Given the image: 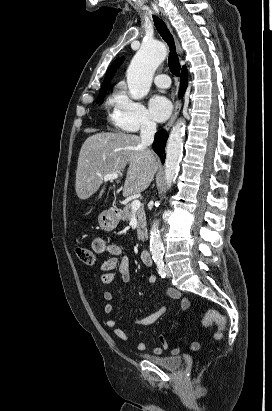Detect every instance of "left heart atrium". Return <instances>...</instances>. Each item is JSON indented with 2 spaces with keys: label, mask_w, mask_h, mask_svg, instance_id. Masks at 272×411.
Listing matches in <instances>:
<instances>
[{
  "label": "left heart atrium",
  "mask_w": 272,
  "mask_h": 411,
  "mask_svg": "<svg viewBox=\"0 0 272 411\" xmlns=\"http://www.w3.org/2000/svg\"><path fill=\"white\" fill-rule=\"evenodd\" d=\"M151 113L157 121L166 120L172 110V104L168 98L162 95H155L149 101Z\"/></svg>",
  "instance_id": "obj_1"
}]
</instances>
